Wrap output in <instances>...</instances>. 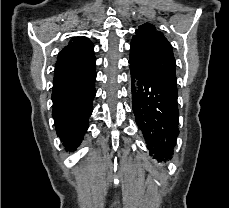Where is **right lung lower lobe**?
I'll return each mask as SVG.
<instances>
[{
  "mask_svg": "<svg viewBox=\"0 0 229 208\" xmlns=\"http://www.w3.org/2000/svg\"><path fill=\"white\" fill-rule=\"evenodd\" d=\"M95 65L91 71L52 91L53 111L57 135L69 150L76 149L88 129L95 97Z\"/></svg>",
  "mask_w": 229,
  "mask_h": 208,
  "instance_id": "98d812e1",
  "label": "right lung lower lobe"
}]
</instances>
